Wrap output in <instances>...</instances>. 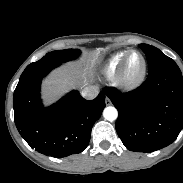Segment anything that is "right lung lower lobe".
<instances>
[{"label":"right lung lower lobe","instance_id":"right-lung-lower-lobe-1","mask_svg":"<svg viewBox=\"0 0 183 183\" xmlns=\"http://www.w3.org/2000/svg\"><path fill=\"white\" fill-rule=\"evenodd\" d=\"M55 67L24 70L14 91V121L31 148L62 158L80 153L88 146L92 126L105 108V92L88 101L78 91H71L45 108L40 85Z\"/></svg>","mask_w":183,"mask_h":183}]
</instances>
